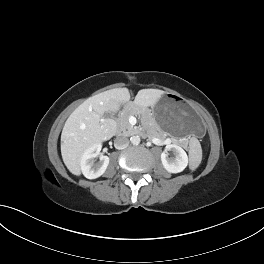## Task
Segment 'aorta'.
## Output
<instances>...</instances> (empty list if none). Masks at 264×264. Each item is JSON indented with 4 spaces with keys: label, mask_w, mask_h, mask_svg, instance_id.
<instances>
[{
    "label": "aorta",
    "mask_w": 264,
    "mask_h": 264,
    "mask_svg": "<svg viewBox=\"0 0 264 264\" xmlns=\"http://www.w3.org/2000/svg\"><path fill=\"white\" fill-rule=\"evenodd\" d=\"M130 142L133 144V145H138L140 143V137L139 136H132L130 138Z\"/></svg>",
    "instance_id": "762f6f07"
}]
</instances>
